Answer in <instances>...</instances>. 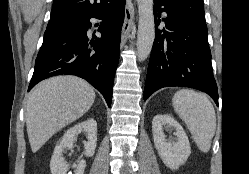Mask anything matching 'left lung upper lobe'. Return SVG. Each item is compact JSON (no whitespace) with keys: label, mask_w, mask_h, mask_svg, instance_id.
<instances>
[{"label":"left lung upper lobe","mask_w":249,"mask_h":174,"mask_svg":"<svg viewBox=\"0 0 249 174\" xmlns=\"http://www.w3.org/2000/svg\"><path fill=\"white\" fill-rule=\"evenodd\" d=\"M181 13L205 23L203 0H166Z\"/></svg>","instance_id":"5c2ea615"}]
</instances>
